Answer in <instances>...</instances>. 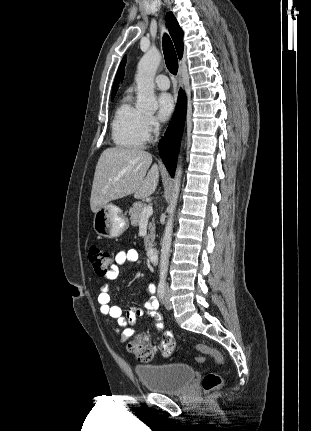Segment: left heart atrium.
Masks as SVG:
<instances>
[{"label": "left heart atrium", "mask_w": 311, "mask_h": 431, "mask_svg": "<svg viewBox=\"0 0 311 431\" xmlns=\"http://www.w3.org/2000/svg\"><path fill=\"white\" fill-rule=\"evenodd\" d=\"M175 100L170 93H162L158 97V116L162 121H168L174 114Z\"/></svg>", "instance_id": "1"}]
</instances>
